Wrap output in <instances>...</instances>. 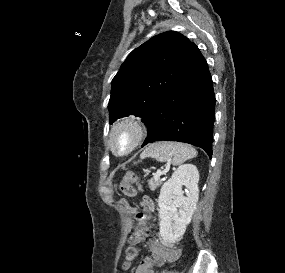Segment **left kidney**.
<instances>
[{
    "label": "left kidney",
    "mask_w": 285,
    "mask_h": 273,
    "mask_svg": "<svg viewBox=\"0 0 285 273\" xmlns=\"http://www.w3.org/2000/svg\"><path fill=\"white\" fill-rule=\"evenodd\" d=\"M199 172L193 164H184L163 184L158 205L162 241L175 243L191 222L199 197ZM186 187V196L182 186Z\"/></svg>",
    "instance_id": "5707ae66"
}]
</instances>
